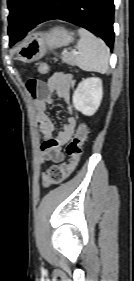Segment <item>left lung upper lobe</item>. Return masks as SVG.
Segmentation results:
<instances>
[{
  "label": "left lung upper lobe",
  "instance_id": "obj_1",
  "mask_svg": "<svg viewBox=\"0 0 134 281\" xmlns=\"http://www.w3.org/2000/svg\"><path fill=\"white\" fill-rule=\"evenodd\" d=\"M47 0H7L10 45L22 38L32 27L33 21Z\"/></svg>",
  "mask_w": 134,
  "mask_h": 281
}]
</instances>
